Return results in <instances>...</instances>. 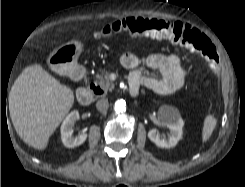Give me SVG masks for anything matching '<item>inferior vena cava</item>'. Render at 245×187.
I'll list each match as a JSON object with an SVG mask.
<instances>
[{
	"instance_id": "inferior-vena-cava-1",
	"label": "inferior vena cava",
	"mask_w": 245,
	"mask_h": 187,
	"mask_svg": "<svg viewBox=\"0 0 245 187\" xmlns=\"http://www.w3.org/2000/svg\"><path fill=\"white\" fill-rule=\"evenodd\" d=\"M109 107V102L107 98H101L100 100L97 101L96 103V108L100 111V112H105L107 111Z\"/></svg>"
}]
</instances>
